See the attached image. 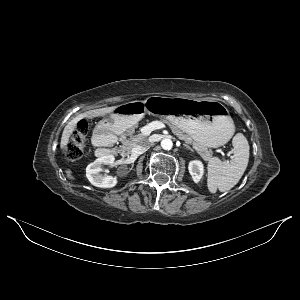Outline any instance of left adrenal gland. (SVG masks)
<instances>
[{
  "mask_svg": "<svg viewBox=\"0 0 300 300\" xmlns=\"http://www.w3.org/2000/svg\"><path fill=\"white\" fill-rule=\"evenodd\" d=\"M183 146H184L185 148L189 149V150L192 151V152L194 151V150H193L189 145H187V144H184Z\"/></svg>",
  "mask_w": 300,
  "mask_h": 300,
  "instance_id": "a2214340",
  "label": "left adrenal gland"
}]
</instances>
